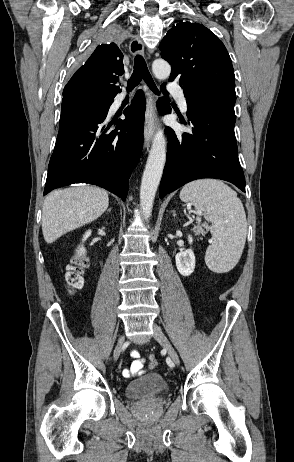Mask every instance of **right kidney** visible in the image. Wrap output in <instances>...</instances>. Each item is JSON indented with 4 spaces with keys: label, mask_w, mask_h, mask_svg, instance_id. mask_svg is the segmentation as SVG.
Wrapping results in <instances>:
<instances>
[{
    "label": "right kidney",
    "mask_w": 294,
    "mask_h": 462,
    "mask_svg": "<svg viewBox=\"0 0 294 462\" xmlns=\"http://www.w3.org/2000/svg\"><path fill=\"white\" fill-rule=\"evenodd\" d=\"M90 235H91V230H88V231L84 234L82 241L84 242ZM85 253H86V250H85V248L83 247V245L79 246V247H78V250H77V256H78V257H81V256L85 255Z\"/></svg>",
    "instance_id": "obj_1"
}]
</instances>
